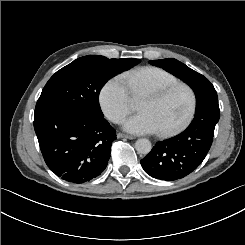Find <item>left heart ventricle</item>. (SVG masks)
I'll return each mask as SVG.
<instances>
[{"label": "left heart ventricle", "mask_w": 245, "mask_h": 245, "mask_svg": "<svg viewBox=\"0 0 245 245\" xmlns=\"http://www.w3.org/2000/svg\"><path fill=\"white\" fill-rule=\"evenodd\" d=\"M188 95L184 89H178L162 101L155 96L140 97L137 110L148 112L157 123L159 130L170 128L179 122L188 109Z\"/></svg>", "instance_id": "left-heart-ventricle-1"}]
</instances>
